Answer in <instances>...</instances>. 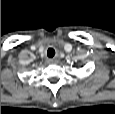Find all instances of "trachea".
<instances>
[{
    "instance_id": "trachea-1",
    "label": "trachea",
    "mask_w": 115,
    "mask_h": 114,
    "mask_svg": "<svg viewBox=\"0 0 115 114\" xmlns=\"http://www.w3.org/2000/svg\"><path fill=\"white\" fill-rule=\"evenodd\" d=\"M55 55V50L53 48H49L47 51V56L52 58Z\"/></svg>"
}]
</instances>
